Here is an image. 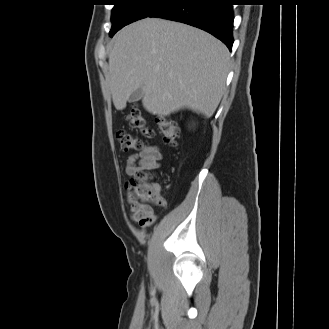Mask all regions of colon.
<instances>
[{"label":"colon","instance_id":"obj_1","mask_svg":"<svg viewBox=\"0 0 329 329\" xmlns=\"http://www.w3.org/2000/svg\"><path fill=\"white\" fill-rule=\"evenodd\" d=\"M128 123L140 130L146 138L153 136V131L148 127L144 116L137 106H132L126 115ZM159 133L163 140L171 146H176L179 139V127L169 116H162L158 120ZM117 140L120 147L125 150H139L142 148V142L134 135L119 130ZM126 189L132 199L144 206L145 210L152 209L154 205H162V198L155 186L148 181V175L144 172L135 173L126 183Z\"/></svg>","mask_w":329,"mask_h":329}]
</instances>
